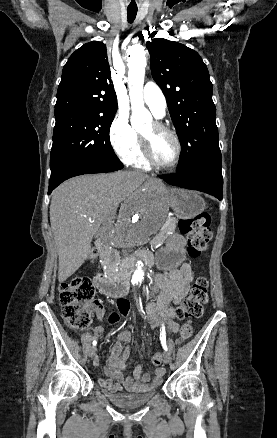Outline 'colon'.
I'll return each instance as SVG.
<instances>
[{"label": "colon", "instance_id": "5ec220e1", "mask_svg": "<svg viewBox=\"0 0 277 438\" xmlns=\"http://www.w3.org/2000/svg\"><path fill=\"white\" fill-rule=\"evenodd\" d=\"M211 217L203 212L194 218H182L179 228L182 235L187 237V252L190 257L198 258L205 250L211 239ZM88 261L98 259L97 250L86 254ZM208 281L206 278L195 279L190 286L189 294L184 299L178 313L186 320L194 319L203 312L204 305L208 302ZM94 287L87 276L72 277L60 285V305L62 315L67 319L73 329L82 330L91 322L94 306L92 297ZM193 327L190 323H184L179 330L178 343H183L191 336ZM154 365L163 363V356L157 353L153 356Z\"/></svg>", "mask_w": 277, "mask_h": 438}]
</instances>
